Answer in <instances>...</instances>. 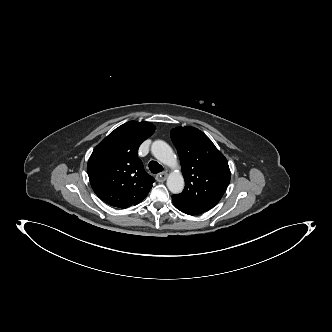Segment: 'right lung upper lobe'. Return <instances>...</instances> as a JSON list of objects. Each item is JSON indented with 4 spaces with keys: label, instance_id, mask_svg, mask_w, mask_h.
I'll list each match as a JSON object with an SVG mask.
<instances>
[{
    "label": "right lung upper lobe",
    "instance_id": "obj_1",
    "mask_svg": "<svg viewBox=\"0 0 332 332\" xmlns=\"http://www.w3.org/2000/svg\"><path fill=\"white\" fill-rule=\"evenodd\" d=\"M154 130L149 122L129 121L94 148L87 171L91 186L102 201L123 209L147 196L154 178L145 172L138 148Z\"/></svg>",
    "mask_w": 332,
    "mask_h": 332
}]
</instances>
